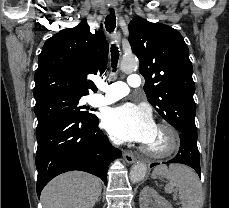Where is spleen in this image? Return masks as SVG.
<instances>
[{
	"label": "spleen",
	"mask_w": 229,
	"mask_h": 208,
	"mask_svg": "<svg viewBox=\"0 0 229 208\" xmlns=\"http://www.w3.org/2000/svg\"><path fill=\"white\" fill-rule=\"evenodd\" d=\"M153 178H167L169 184L165 186L166 194L174 192V188L179 192V200L183 208H202L204 196L199 178L191 168L183 164H170L169 168L165 164L157 166Z\"/></svg>",
	"instance_id": "3e777b00"
}]
</instances>
